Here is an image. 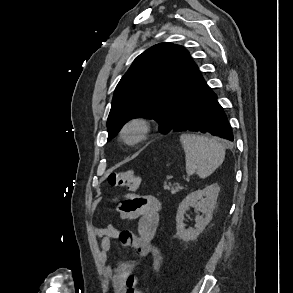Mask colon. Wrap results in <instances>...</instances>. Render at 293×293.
Instances as JSON below:
<instances>
[{"label":"colon","mask_w":293,"mask_h":293,"mask_svg":"<svg viewBox=\"0 0 293 293\" xmlns=\"http://www.w3.org/2000/svg\"><path fill=\"white\" fill-rule=\"evenodd\" d=\"M107 181L112 187H122L130 191H136L141 184L140 176L132 170L111 172ZM126 285V293H142L137 287V278L134 275L128 276Z\"/></svg>","instance_id":"colon-1"}]
</instances>
